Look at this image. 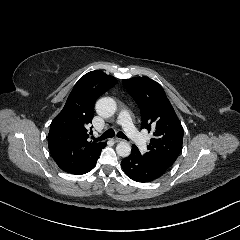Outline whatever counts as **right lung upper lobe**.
<instances>
[{"instance_id": "right-lung-upper-lobe-1", "label": "right lung upper lobe", "mask_w": 240, "mask_h": 240, "mask_svg": "<svg viewBox=\"0 0 240 240\" xmlns=\"http://www.w3.org/2000/svg\"><path fill=\"white\" fill-rule=\"evenodd\" d=\"M117 83L116 78L95 70L82 76L71 91L62 111L51 123L49 150L58 166L71 174H81L98 159L105 142L89 139V124L96 99Z\"/></svg>"}]
</instances>
